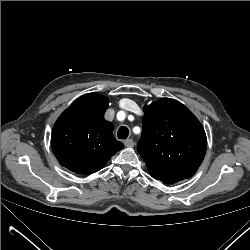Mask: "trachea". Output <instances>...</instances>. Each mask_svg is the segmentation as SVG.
<instances>
[{"instance_id": "1", "label": "trachea", "mask_w": 250, "mask_h": 250, "mask_svg": "<svg viewBox=\"0 0 250 250\" xmlns=\"http://www.w3.org/2000/svg\"><path fill=\"white\" fill-rule=\"evenodd\" d=\"M129 135V130L127 127L122 126L118 129L117 136L119 139H126Z\"/></svg>"}]
</instances>
